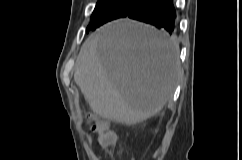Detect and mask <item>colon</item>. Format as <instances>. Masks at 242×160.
<instances>
[{"label":"colon","mask_w":242,"mask_h":160,"mask_svg":"<svg viewBox=\"0 0 242 160\" xmlns=\"http://www.w3.org/2000/svg\"><path fill=\"white\" fill-rule=\"evenodd\" d=\"M90 127L93 132L98 134V143L107 148L114 142L115 136L108 131V125L104 120L98 119L93 115L88 117Z\"/></svg>","instance_id":"1"}]
</instances>
